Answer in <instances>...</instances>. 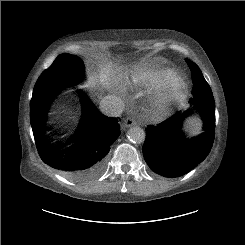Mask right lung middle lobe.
Instances as JSON below:
<instances>
[{
    "instance_id": "dd1d6c3e",
    "label": "right lung middle lobe",
    "mask_w": 245,
    "mask_h": 245,
    "mask_svg": "<svg viewBox=\"0 0 245 245\" xmlns=\"http://www.w3.org/2000/svg\"><path fill=\"white\" fill-rule=\"evenodd\" d=\"M85 70L82 60L74 55L60 54L39 77L33 90L31 102L42 96L73 86L84 79Z\"/></svg>"
}]
</instances>
